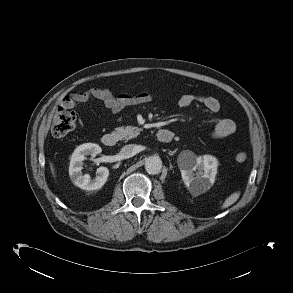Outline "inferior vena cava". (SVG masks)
Segmentation results:
<instances>
[{"instance_id":"1","label":"inferior vena cava","mask_w":293,"mask_h":293,"mask_svg":"<svg viewBox=\"0 0 293 293\" xmlns=\"http://www.w3.org/2000/svg\"><path fill=\"white\" fill-rule=\"evenodd\" d=\"M138 152H139V150L136 145L129 144V145H125L124 147H122L120 154L124 158H130V157L136 155Z\"/></svg>"}]
</instances>
